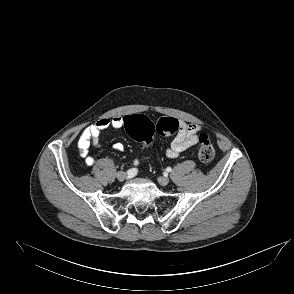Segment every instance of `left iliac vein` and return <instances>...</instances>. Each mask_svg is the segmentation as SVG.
Segmentation results:
<instances>
[{
    "mask_svg": "<svg viewBox=\"0 0 294 294\" xmlns=\"http://www.w3.org/2000/svg\"><path fill=\"white\" fill-rule=\"evenodd\" d=\"M158 183L160 184V185H162V186H166V185H168L169 184V178L168 177H164V176H162V177H158Z\"/></svg>",
    "mask_w": 294,
    "mask_h": 294,
    "instance_id": "4c4485c4",
    "label": "left iliac vein"
}]
</instances>
